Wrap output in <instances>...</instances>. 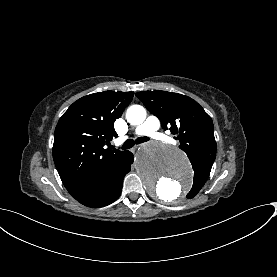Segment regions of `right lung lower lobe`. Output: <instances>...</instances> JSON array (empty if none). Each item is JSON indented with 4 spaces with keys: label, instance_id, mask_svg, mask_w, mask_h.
<instances>
[{
    "label": "right lung lower lobe",
    "instance_id": "obj_1",
    "mask_svg": "<svg viewBox=\"0 0 277 277\" xmlns=\"http://www.w3.org/2000/svg\"><path fill=\"white\" fill-rule=\"evenodd\" d=\"M132 163L133 154L126 151L121 159L112 162L71 195L88 207H103L111 204L120 196L124 176L130 171Z\"/></svg>",
    "mask_w": 277,
    "mask_h": 277
}]
</instances>
